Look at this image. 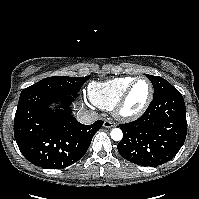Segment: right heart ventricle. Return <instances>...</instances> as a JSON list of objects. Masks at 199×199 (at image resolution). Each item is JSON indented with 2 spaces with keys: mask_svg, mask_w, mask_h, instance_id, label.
Instances as JSON below:
<instances>
[{
  "mask_svg": "<svg viewBox=\"0 0 199 199\" xmlns=\"http://www.w3.org/2000/svg\"><path fill=\"white\" fill-rule=\"evenodd\" d=\"M133 79L132 77H120L104 82H92L88 86L89 99L99 108L111 109Z\"/></svg>",
  "mask_w": 199,
  "mask_h": 199,
  "instance_id": "1",
  "label": "right heart ventricle"
}]
</instances>
